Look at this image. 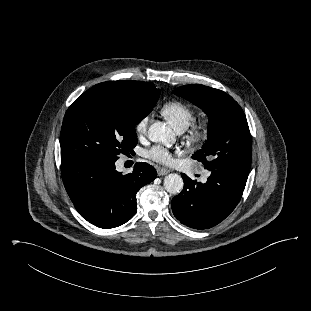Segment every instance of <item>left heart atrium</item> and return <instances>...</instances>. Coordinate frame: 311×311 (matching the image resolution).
Returning a JSON list of instances; mask_svg holds the SVG:
<instances>
[{
  "label": "left heart atrium",
  "mask_w": 311,
  "mask_h": 311,
  "mask_svg": "<svg viewBox=\"0 0 311 311\" xmlns=\"http://www.w3.org/2000/svg\"><path fill=\"white\" fill-rule=\"evenodd\" d=\"M147 156L157 162L168 164L173 160V154L168 148L156 145L147 151Z\"/></svg>",
  "instance_id": "left-heart-atrium-1"
}]
</instances>
